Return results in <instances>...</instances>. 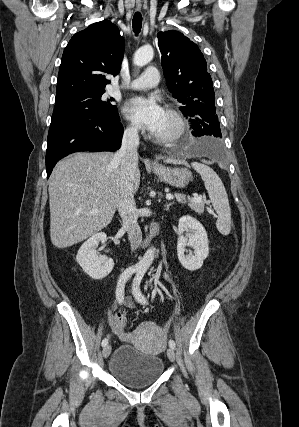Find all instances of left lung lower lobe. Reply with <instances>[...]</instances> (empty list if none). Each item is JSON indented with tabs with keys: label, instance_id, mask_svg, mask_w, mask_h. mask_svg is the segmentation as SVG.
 <instances>
[{
	"label": "left lung lower lobe",
	"instance_id": "obj_1",
	"mask_svg": "<svg viewBox=\"0 0 299 427\" xmlns=\"http://www.w3.org/2000/svg\"><path fill=\"white\" fill-rule=\"evenodd\" d=\"M196 111H197L196 112L197 116H188L193 129L192 134L196 137H200L203 135L213 136L209 128L210 126L209 111L204 107L200 109H196ZM195 151L208 153L215 158H222L220 145L217 143L214 145H210L206 143H198Z\"/></svg>",
	"mask_w": 299,
	"mask_h": 427
}]
</instances>
